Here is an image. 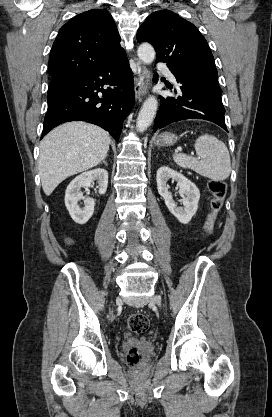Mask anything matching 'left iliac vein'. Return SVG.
<instances>
[{"instance_id":"left-iliac-vein-1","label":"left iliac vein","mask_w":272,"mask_h":417,"mask_svg":"<svg viewBox=\"0 0 272 417\" xmlns=\"http://www.w3.org/2000/svg\"><path fill=\"white\" fill-rule=\"evenodd\" d=\"M152 301L158 306H161V299L158 296H155Z\"/></svg>"}]
</instances>
